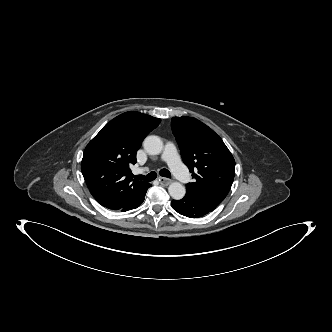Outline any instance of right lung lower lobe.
<instances>
[{
    "mask_svg": "<svg viewBox=\"0 0 332 332\" xmlns=\"http://www.w3.org/2000/svg\"><path fill=\"white\" fill-rule=\"evenodd\" d=\"M150 186H151V184H148L133 200H131L130 202H128L121 208L112 209V210L127 211V210L137 208L143 202L147 189Z\"/></svg>",
    "mask_w": 332,
    "mask_h": 332,
    "instance_id": "obj_1",
    "label": "right lung lower lobe"
}]
</instances>
